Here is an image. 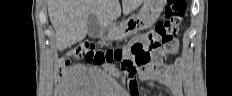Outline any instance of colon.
Returning <instances> with one entry per match:
<instances>
[{"label":"colon","mask_w":232,"mask_h":96,"mask_svg":"<svg viewBox=\"0 0 232 96\" xmlns=\"http://www.w3.org/2000/svg\"><path fill=\"white\" fill-rule=\"evenodd\" d=\"M186 11L184 0H167L165 19L156 24L155 29L149 33L145 46L132 45L124 51L120 49H99L94 44L83 41L71 50L67 57L85 60L89 63L101 65L104 63L120 62L131 77L148 70L160 71L158 64L150 63V55L157 62L166 58L173 52L172 44L179 33ZM60 67L68 64V58L60 60Z\"/></svg>","instance_id":"obj_1"}]
</instances>
